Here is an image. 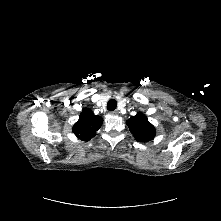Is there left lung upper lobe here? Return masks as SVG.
Returning a JSON list of instances; mask_svg holds the SVG:
<instances>
[{
  "mask_svg": "<svg viewBox=\"0 0 221 221\" xmlns=\"http://www.w3.org/2000/svg\"><path fill=\"white\" fill-rule=\"evenodd\" d=\"M126 124L128 125L130 132L133 134L136 141L148 142L156 135L154 126L141 112H138L135 116H132L129 120H127Z\"/></svg>",
  "mask_w": 221,
  "mask_h": 221,
  "instance_id": "1",
  "label": "left lung upper lobe"
}]
</instances>
